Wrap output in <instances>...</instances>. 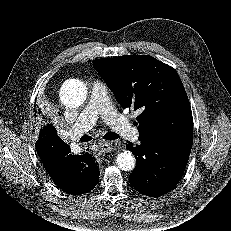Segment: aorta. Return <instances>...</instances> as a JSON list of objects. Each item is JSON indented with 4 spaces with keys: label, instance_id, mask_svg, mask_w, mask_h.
Listing matches in <instances>:
<instances>
[{
    "label": "aorta",
    "instance_id": "aorta-1",
    "mask_svg": "<svg viewBox=\"0 0 231 231\" xmlns=\"http://www.w3.org/2000/svg\"><path fill=\"white\" fill-rule=\"evenodd\" d=\"M87 88L83 82L77 79L66 81L60 90V99L64 105L70 108L81 106L86 100ZM116 163L122 171H131L135 167V158L130 151H123L117 155Z\"/></svg>",
    "mask_w": 231,
    "mask_h": 231
}]
</instances>
